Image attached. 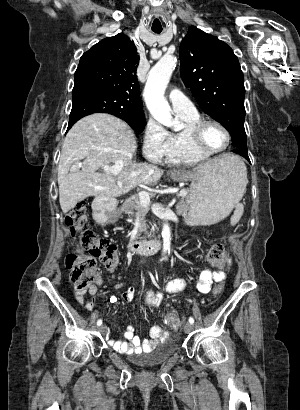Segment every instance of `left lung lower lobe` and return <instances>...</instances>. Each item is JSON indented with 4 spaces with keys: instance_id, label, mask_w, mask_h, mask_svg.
<instances>
[{
    "instance_id": "left-lung-lower-lobe-1",
    "label": "left lung lower lobe",
    "mask_w": 300,
    "mask_h": 410,
    "mask_svg": "<svg viewBox=\"0 0 300 410\" xmlns=\"http://www.w3.org/2000/svg\"><path fill=\"white\" fill-rule=\"evenodd\" d=\"M235 153H237V154L243 156L245 159H247V160L250 162L247 152H244V151H242V150H236Z\"/></svg>"
}]
</instances>
